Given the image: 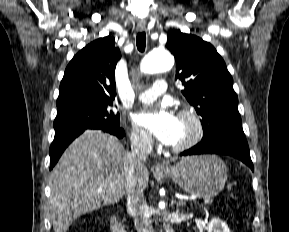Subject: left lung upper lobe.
<instances>
[{
  "mask_svg": "<svg viewBox=\"0 0 289 232\" xmlns=\"http://www.w3.org/2000/svg\"><path fill=\"white\" fill-rule=\"evenodd\" d=\"M166 47L175 57L176 79L182 81V93L202 118L201 141L244 134L233 80L216 49L180 30L168 34Z\"/></svg>",
  "mask_w": 289,
  "mask_h": 232,
  "instance_id": "left-lung-upper-lobe-1",
  "label": "left lung upper lobe"
}]
</instances>
